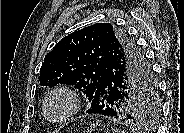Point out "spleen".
Returning a JSON list of instances; mask_svg holds the SVG:
<instances>
[{
	"label": "spleen",
	"mask_w": 184,
	"mask_h": 133,
	"mask_svg": "<svg viewBox=\"0 0 184 133\" xmlns=\"http://www.w3.org/2000/svg\"><path fill=\"white\" fill-rule=\"evenodd\" d=\"M114 131H115V132H118V133L120 132V131H119V130H117V129H115Z\"/></svg>",
	"instance_id": "obj_1"
}]
</instances>
